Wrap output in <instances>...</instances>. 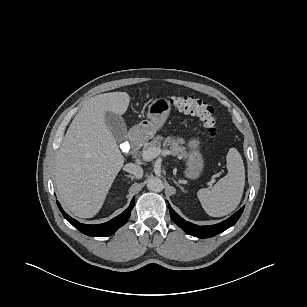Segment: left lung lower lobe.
<instances>
[{
    "label": "left lung lower lobe",
    "instance_id": "0a47b994",
    "mask_svg": "<svg viewBox=\"0 0 307 307\" xmlns=\"http://www.w3.org/2000/svg\"><path fill=\"white\" fill-rule=\"evenodd\" d=\"M169 212L172 220L181 227L186 233L198 237V238H209L213 237L229 227L233 226L238 219L240 218L243 209H239L235 214H233L231 217H229L227 220L218 223L216 225L211 226H198L195 224H192L190 222L185 221L183 218H181L170 206Z\"/></svg>",
    "mask_w": 307,
    "mask_h": 307
}]
</instances>
